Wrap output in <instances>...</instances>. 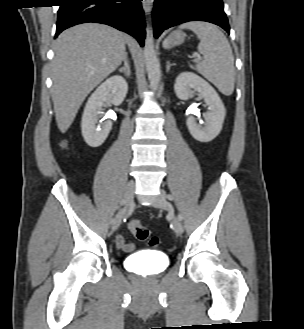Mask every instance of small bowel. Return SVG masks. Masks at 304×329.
Returning a JSON list of instances; mask_svg holds the SVG:
<instances>
[{
    "mask_svg": "<svg viewBox=\"0 0 304 329\" xmlns=\"http://www.w3.org/2000/svg\"><path fill=\"white\" fill-rule=\"evenodd\" d=\"M116 244L117 247L125 253H130L135 249L134 244L128 242L123 234L116 236Z\"/></svg>",
    "mask_w": 304,
    "mask_h": 329,
    "instance_id": "small-bowel-1",
    "label": "small bowel"
}]
</instances>
